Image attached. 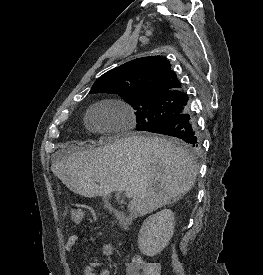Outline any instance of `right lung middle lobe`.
Wrapping results in <instances>:
<instances>
[{
  "instance_id": "right-lung-middle-lobe-1",
  "label": "right lung middle lobe",
  "mask_w": 263,
  "mask_h": 275,
  "mask_svg": "<svg viewBox=\"0 0 263 275\" xmlns=\"http://www.w3.org/2000/svg\"><path fill=\"white\" fill-rule=\"evenodd\" d=\"M120 94L136 110V130L150 131L188 109L187 95H134L120 89H97L90 93ZM193 149V148H192Z\"/></svg>"
}]
</instances>
